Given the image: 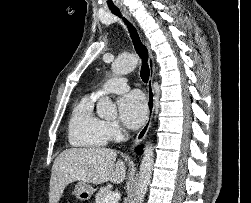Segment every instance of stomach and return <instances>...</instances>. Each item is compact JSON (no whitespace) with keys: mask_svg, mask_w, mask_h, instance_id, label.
<instances>
[{"mask_svg":"<svg viewBox=\"0 0 251 203\" xmlns=\"http://www.w3.org/2000/svg\"><path fill=\"white\" fill-rule=\"evenodd\" d=\"M94 192L95 188L86 182L80 181L75 185L74 194L81 201L90 199Z\"/></svg>","mask_w":251,"mask_h":203,"instance_id":"0dacf381","label":"stomach"}]
</instances>
